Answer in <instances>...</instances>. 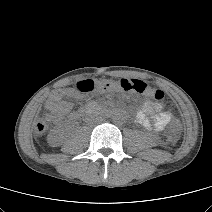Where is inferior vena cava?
Here are the masks:
<instances>
[{
    "instance_id": "inferior-vena-cava-1",
    "label": "inferior vena cava",
    "mask_w": 212,
    "mask_h": 212,
    "mask_svg": "<svg viewBox=\"0 0 212 212\" xmlns=\"http://www.w3.org/2000/svg\"><path fill=\"white\" fill-rule=\"evenodd\" d=\"M99 121H100V118H98V117H95V118H93V117H87L86 118V122L88 124H93V123H96V122H99Z\"/></svg>"
}]
</instances>
